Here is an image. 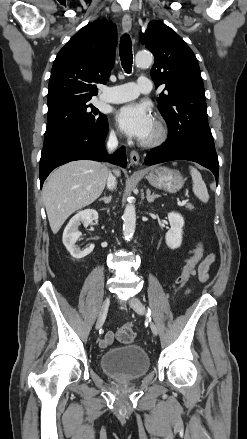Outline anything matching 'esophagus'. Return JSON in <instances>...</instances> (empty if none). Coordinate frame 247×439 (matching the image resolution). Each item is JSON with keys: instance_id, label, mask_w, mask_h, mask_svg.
Wrapping results in <instances>:
<instances>
[{"instance_id": "1", "label": "esophagus", "mask_w": 247, "mask_h": 439, "mask_svg": "<svg viewBox=\"0 0 247 439\" xmlns=\"http://www.w3.org/2000/svg\"><path fill=\"white\" fill-rule=\"evenodd\" d=\"M122 28L125 32H129L132 28V19L130 15H124L122 19ZM139 154L136 151H131L130 153V162L132 165L137 166L139 164Z\"/></svg>"}]
</instances>
